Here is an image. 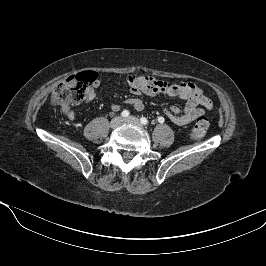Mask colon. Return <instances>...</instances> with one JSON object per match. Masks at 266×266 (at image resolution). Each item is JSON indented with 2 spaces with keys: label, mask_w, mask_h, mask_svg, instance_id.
Listing matches in <instances>:
<instances>
[{
  "label": "colon",
  "mask_w": 266,
  "mask_h": 266,
  "mask_svg": "<svg viewBox=\"0 0 266 266\" xmlns=\"http://www.w3.org/2000/svg\"><path fill=\"white\" fill-rule=\"evenodd\" d=\"M97 80L95 72H84L72 75L61 83L53 92L51 101L56 106L69 108L70 105L79 104L86 98L88 87ZM209 127L207 119L201 117L191 129L193 140L202 139Z\"/></svg>",
  "instance_id": "5ec220e1"
}]
</instances>
